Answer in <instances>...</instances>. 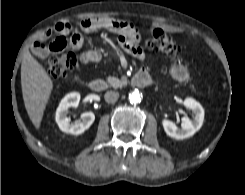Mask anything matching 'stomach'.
Listing matches in <instances>:
<instances>
[{"label":"stomach","instance_id":"obj_1","mask_svg":"<svg viewBox=\"0 0 245 195\" xmlns=\"http://www.w3.org/2000/svg\"><path fill=\"white\" fill-rule=\"evenodd\" d=\"M171 72L173 77L177 80L183 81L187 78L186 71L183 68L174 67Z\"/></svg>","mask_w":245,"mask_h":195}]
</instances>
